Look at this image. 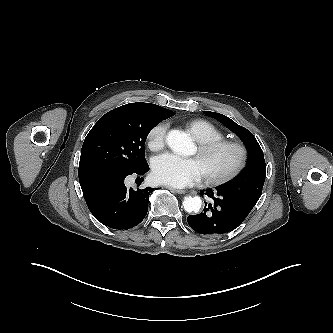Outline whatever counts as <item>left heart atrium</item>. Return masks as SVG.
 <instances>
[{"instance_id": "1", "label": "left heart atrium", "mask_w": 333, "mask_h": 333, "mask_svg": "<svg viewBox=\"0 0 333 333\" xmlns=\"http://www.w3.org/2000/svg\"><path fill=\"white\" fill-rule=\"evenodd\" d=\"M156 181L173 187H186L201 180L203 173L195 158H184L172 153L156 157L152 164Z\"/></svg>"}]
</instances>
